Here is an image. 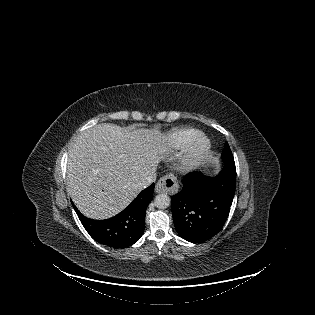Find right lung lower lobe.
<instances>
[{
  "label": "right lung lower lobe",
  "instance_id": "1",
  "mask_svg": "<svg viewBox=\"0 0 315 315\" xmlns=\"http://www.w3.org/2000/svg\"><path fill=\"white\" fill-rule=\"evenodd\" d=\"M154 186V183L151 184L122 212L106 220L86 218L75 205L73 207L84 228L95 241L114 248H126L137 242L144 232L145 211L153 198Z\"/></svg>",
  "mask_w": 315,
  "mask_h": 315
}]
</instances>
